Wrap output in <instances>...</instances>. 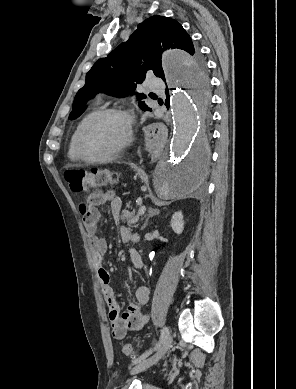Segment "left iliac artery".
<instances>
[{
	"instance_id": "obj_1",
	"label": "left iliac artery",
	"mask_w": 296,
	"mask_h": 389,
	"mask_svg": "<svg viewBox=\"0 0 296 389\" xmlns=\"http://www.w3.org/2000/svg\"><path fill=\"white\" fill-rule=\"evenodd\" d=\"M169 334V330L167 327H164L162 330H161V336H160V340H159V343L156 345L158 347V345L166 338V336ZM156 349V347L154 348ZM153 349H150L149 351H146L144 354H142L138 359L134 360L133 362L134 363H137L139 362L140 360L146 358L147 356H149L151 353H152Z\"/></svg>"
}]
</instances>
